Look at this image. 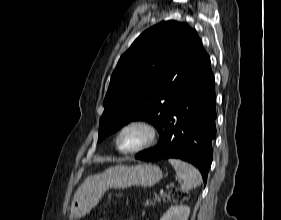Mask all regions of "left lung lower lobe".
<instances>
[{
	"instance_id": "left-lung-lower-lobe-1",
	"label": "left lung lower lobe",
	"mask_w": 281,
	"mask_h": 220,
	"mask_svg": "<svg viewBox=\"0 0 281 220\" xmlns=\"http://www.w3.org/2000/svg\"><path fill=\"white\" fill-rule=\"evenodd\" d=\"M215 120L214 74L206 53L176 90L174 106L159 131V144L138 153L135 158L187 161L200 170L206 183L216 136Z\"/></svg>"
}]
</instances>
